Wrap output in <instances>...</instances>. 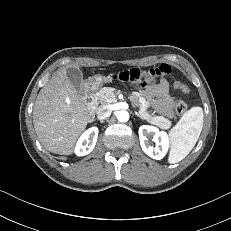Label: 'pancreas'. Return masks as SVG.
I'll use <instances>...</instances> for the list:
<instances>
[{"label": "pancreas", "instance_id": "obj_1", "mask_svg": "<svg viewBox=\"0 0 231 231\" xmlns=\"http://www.w3.org/2000/svg\"><path fill=\"white\" fill-rule=\"evenodd\" d=\"M139 98V112L143 119L147 120L149 123L154 124L162 129H167L171 126V121L163 116H156L148 112L149 103L140 93H134ZM95 99L100 104L104 103H114L116 102V92L115 88L104 87L101 88L96 94Z\"/></svg>", "mask_w": 231, "mask_h": 231}]
</instances>
